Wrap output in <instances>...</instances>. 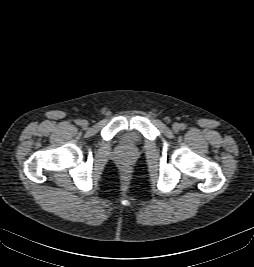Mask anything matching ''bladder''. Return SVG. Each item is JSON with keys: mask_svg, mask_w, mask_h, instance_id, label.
<instances>
[{"mask_svg": "<svg viewBox=\"0 0 254 267\" xmlns=\"http://www.w3.org/2000/svg\"><path fill=\"white\" fill-rule=\"evenodd\" d=\"M124 140L126 142L134 143L137 140V135L134 132L126 133Z\"/></svg>", "mask_w": 254, "mask_h": 267, "instance_id": "bladder-1", "label": "bladder"}]
</instances>
